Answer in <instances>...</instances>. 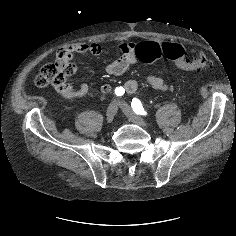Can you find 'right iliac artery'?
I'll list each match as a JSON object with an SVG mask.
<instances>
[{"label": "right iliac artery", "mask_w": 236, "mask_h": 236, "mask_svg": "<svg viewBox=\"0 0 236 236\" xmlns=\"http://www.w3.org/2000/svg\"><path fill=\"white\" fill-rule=\"evenodd\" d=\"M115 95L122 96L125 93V90L123 87H117L114 91Z\"/></svg>", "instance_id": "1"}]
</instances>
